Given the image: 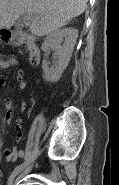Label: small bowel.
<instances>
[{"label": "small bowel", "instance_id": "c3829d8e", "mask_svg": "<svg viewBox=\"0 0 119 185\" xmlns=\"http://www.w3.org/2000/svg\"><path fill=\"white\" fill-rule=\"evenodd\" d=\"M18 64V61L15 58H11L8 60H1L0 61V67L2 69L8 70L12 68L13 66H16ZM16 81L19 83V89H24L26 83L24 81V73L23 70H18L15 75ZM0 85H5V79L0 78ZM14 107H15V101L13 99H7L4 103V112H5V120L7 123H10L13 119V113H14ZM21 111H24L26 108V104L24 102H21ZM22 118L18 117L15 119V132H16V141L19 142L22 138ZM5 159L7 162H14L18 158H23L25 156V153L23 150L18 149L17 147H11L7 148L4 151Z\"/></svg>", "mask_w": 119, "mask_h": 185}]
</instances>
